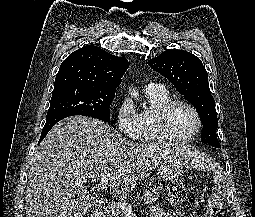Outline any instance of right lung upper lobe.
Returning <instances> with one entry per match:
<instances>
[{
    "label": "right lung upper lobe",
    "mask_w": 255,
    "mask_h": 217,
    "mask_svg": "<svg viewBox=\"0 0 255 217\" xmlns=\"http://www.w3.org/2000/svg\"><path fill=\"white\" fill-rule=\"evenodd\" d=\"M129 62L105 50L87 45L71 53L60 65L54 88L84 86L116 91Z\"/></svg>",
    "instance_id": "right-lung-upper-lobe-1"
}]
</instances>
